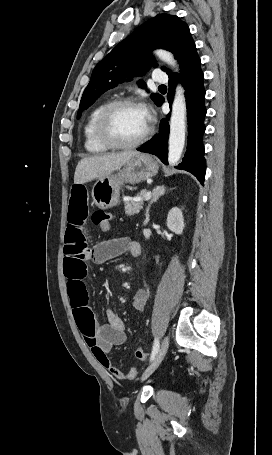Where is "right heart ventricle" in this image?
<instances>
[{
	"mask_svg": "<svg viewBox=\"0 0 272 455\" xmlns=\"http://www.w3.org/2000/svg\"><path fill=\"white\" fill-rule=\"evenodd\" d=\"M107 104V102H102L98 104L96 107H94L91 112L89 113L85 125H84V130H83V135H84V147L87 152L91 154H101L105 153L109 150L108 147L104 146L101 144L96 136H95V131H94V126H95V121L96 118L99 114V112L102 110V108Z\"/></svg>",
	"mask_w": 272,
	"mask_h": 455,
	"instance_id": "obj_1",
	"label": "right heart ventricle"
}]
</instances>
